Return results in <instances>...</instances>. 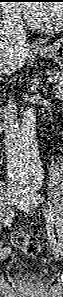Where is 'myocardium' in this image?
I'll list each match as a JSON object with an SVG mask.
<instances>
[{
	"label": "myocardium",
	"mask_w": 63,
	"mask_h": 297,
	"mask_svg": "<svg viewBox=\"0 0 63 297\" xmlns=\"http://www.w3.org/2000/svg\"><path fill=\"white\" fill-rule=\"evenodd\" d=\"M59 11H60V17L56 24L52 25H46L42 23H33V25L47 33H55L59 32L62 29V23H63V7L61 5H58Z\"/></svg>",
	"instance_id": "myocardium-1"
}]
</instances>
